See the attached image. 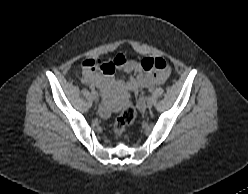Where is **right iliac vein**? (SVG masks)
I'll use <instances>...</instances> for the list:
<instances>
[{
    "instance_id": "obj_1",
    "label": "right iliac vein",
    "mask_w": 248,
    "mask_h": 194,
    "mask_svg": "<svg viewBox=\"0 0 248 194\" xmlns=\"http://www.w3.org/2000/svg\"><path fill=\"white\" fill-rule=\"evenodd\" d=\"M92 98L96 101L98 100L99 96L98 93L96 91L92 92Z\"/></svg>"
}]
</instances>
